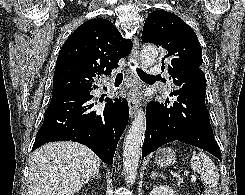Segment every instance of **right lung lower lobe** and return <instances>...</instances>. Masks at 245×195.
Wrapping results in <instances>:
<instances>
[{"instance_id": "98d812e1", "label": "right lung lower lobe", "mask_w": 245, "mask_h": 195, "mask_svg": "<svg viewBox=\"0 0 245 195\" xmlns=\"http://www.w3.org/2000/svg\"><path fill=\"white\" fill-rule=\"evenodd\" d=\"M92 84L52 96L32 150L47 142L75 141L86 145L105 163L112 165L117 143L129 117L126 100L106 98L104 107L90 94Z\"/></svg>"}]
</instances>
